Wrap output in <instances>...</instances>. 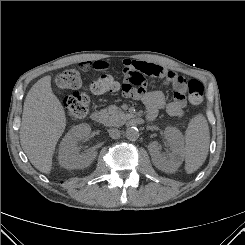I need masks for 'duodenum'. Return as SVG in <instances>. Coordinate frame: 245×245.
Masks as SVG:
<instances>
[{
    "instance_id": "obj_1",
    "label": "duodenum",
    "mask_w": 245,
    "mask_h": 245,
    "mask_svg": "<svg viewBox=\"0 0 245 245\" xmlns=\"http://www.w3.org/2000/svg\"><path fill=\"white\" fill-rule=\"evenodd\" d=\"M91 119L95 123H99L100 124V123L103 122L104 116H103L102 112H100V111H94L91 114ZM129 122L132 125H141L144 122V119L142 117H139V116H134V117L130 118Z\"/></svg>"
}]
</instances>
